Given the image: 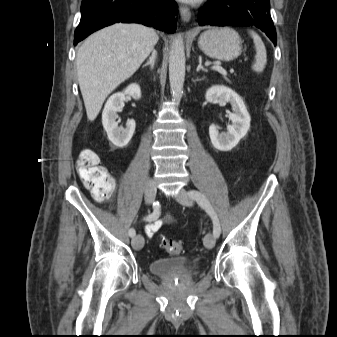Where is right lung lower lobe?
Segmentation results:
<instances>
[{"instance_id": "1", "label": "right lung lower lobe", "mask_w": 337, "mask_h": 337, "mask_svg": "<svg viewBox=\"0 0 337 337\" xmlns=\"http://www.w3.org/2000/svg\"><path fill=\"white\" fill-rule=\"evenodd\" d=\"M178 6L174 0H83L74 45L91 33L114 23H141L175 32Z\"/></svg>"}]
</instances>
